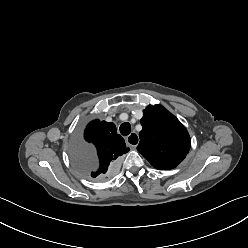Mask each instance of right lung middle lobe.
I'll return each instance as SVG.
<instances>
[{"label":"right lung middle lobe","mask_w":248,"mask_h":248,"mask_svg":"<svg viewBox=\"0 0 248 248\" xmlns=\"http://www.w3.org/2000/svg\"><path fill=\"white\" fill-rule=\"evenodd\" d=\"M71 157L75 167L84 176H89V173L96 167L94 149L81 140H77L73 144Z\"/></svg>","instance_id":"1"}]
</instances>
